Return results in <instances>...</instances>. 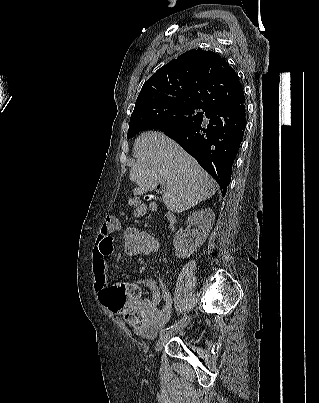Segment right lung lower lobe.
Returning a JSON list of instances; mask_svg holds the SVG:
<instances>
[{
  "mask_svg": "<svg viewBox=\"0 0 319 403\" xmlns=\"http://www.w3.org/2000/svg\"><path fill=\"white\" fill-rule=\"evenodd\" d=\"M244 102L206 112L196 123L162 129L217 181L225 195L246 128ZM209 119V124L206 123Z\"/></svg>",
  "mask_w": 319,
  "mask_h": 403,
  "instance_id": "right-lung-lower-lobe-1",
  "label": "right lung lower lobe"
}]
</instances>
